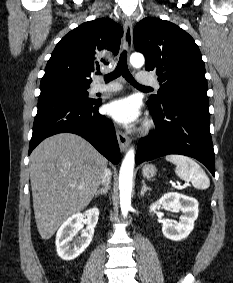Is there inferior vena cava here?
<instances>
[{
	"instance_id": "1",
	"label": "inferior vena cava",
	"mask_w": 233,
	"mask_h": 283,
	"mask_svg": "<svg viewBox=\"0 0 233 283\" xmlns=\"http://www.w3.org/2000/svg\"><path fill=\"white\" fill-rule=\"evenodd\" d=\"M111 179V171L109 169H105L103 177H102V184L108 185Z\"/></svg>"
}]
</instances>
